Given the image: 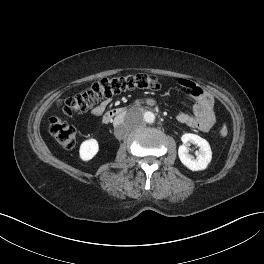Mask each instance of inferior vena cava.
<instances>
[{
	"label": "inferior vena cava",
	"mask_w": 264,
	"mask_h": 264,
	"mask_svg": "<svg viewBox=\"0 0 264 264\" xmlns=\"http://www.w3.org/2000/svg\"><path fill=\"white\" fill-rule=\"evenodd\" d=\"M114 124L117 126H123L125 124V119L122 116H117L114 119Z\"/></svg>",
	"instance_id": "1"
}]
</instances>
